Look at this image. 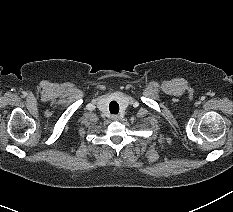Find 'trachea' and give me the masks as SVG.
Instances as JSON below:
<instances>
[{"instance_id":"1","label":"trachea","mask_w":233,"mask_h":212,"mask_svg":"<svg viewBox=\"0 0 233 212\" xmlns=\"http://www.w3.org/2000/svg\"><path fill=\"white\" fill-rule=\"evenodd\" d=\"M109 110L111 114H118L119 112V104L116 101H112L109 104Z\"/></svg>"}]
</instances>
